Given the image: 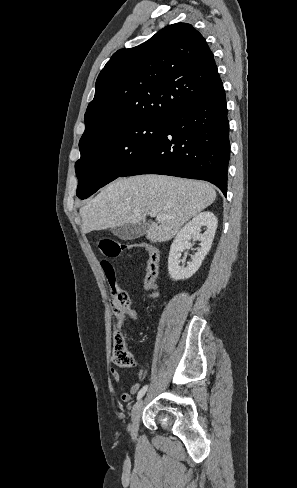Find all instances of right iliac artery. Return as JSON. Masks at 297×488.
I'll return each instance as SVG.
<instances>
[{"instance_id": "obj_1", "label": "right iliac artery", "mask_w": 297, "mask_h": 488, "mask_svg": "<svg viewBox=\"0 0 297 488\" xmlns=\"http://www.w3.org/2000/svg\"><path fill=\"white\" fill-rule=\"evenodd\" d=\"M148 385H145L144 387L141 388V390L138 392L137 399L139 400L147 391Z\"/></svg>"}]
</instances>
